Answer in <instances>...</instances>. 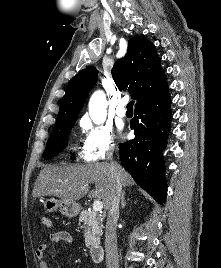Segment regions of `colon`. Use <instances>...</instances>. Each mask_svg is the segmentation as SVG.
<instances>
[{
	"mask_svg": "<svg viewBox=\"0 0 221 268\" xmlns=\"http://www.w3.org/2000/svg\"><path fill=\"white\" fill-rule=\"evenodd\" d=\"M41 224L45 229H51L53 226V222H52L51 218L48 217L47 215H43L41 217Z\"/></svg>",
	"mask_w": 221,
	"mask_h": 268,
	"instance_id": "colon-1",
	"label": "colon"
}]
</instances>
